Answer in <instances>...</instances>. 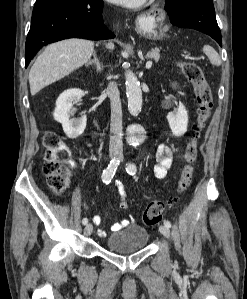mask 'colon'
Segmentation results:
<instances>
[{
  "label": "colon",
  "mask_w": 247,
  "mask_h": 299,
  "mask_svg": "<svg viewBox=\"0 0 247 299\" xmlns=\"http://www.w3.org/2000/svg\"><path fill=\"white\" fill-rule=\"evenodd\" d=\"M178 66L192 85L197 102V116L192 133L185 148V165L178 182L177 193L168 199L151 201L141 215L142 222L153 226L162 219L165 208L178 202L180 196L189 188L192 181L193 164L197 158L198 144L202 132L209 121L213 107V96L210 86L201 68L189 61H179ZM45 147L43 171L49 188L55 194H61L69 184L70 149L55 132L48 131L43 137Z\"/></svg>",
  "instance_id": "obj_1"
}]
</instances>
